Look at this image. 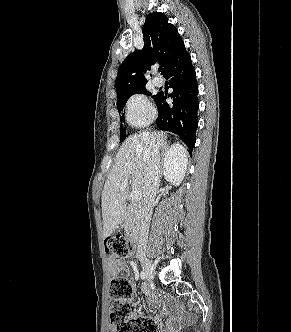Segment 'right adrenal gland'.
<instances>
[{
	"label": "right adrenal gland",
	"instance_id": "1",
	"mask_svg": "<svg viewBox=\"0 0 291 332\" xmlns=\"http://www.w3.org/2000/svg\"><path fill=\"white\" fill-rule=\"evenodd\" d=\"M167 148H168V145H167V142H165L163 150H162V158H163V156H165V150H167Z\"/></svg>",
	"mask_w": 291,
	"mask_h": 332
}]
</instances>
